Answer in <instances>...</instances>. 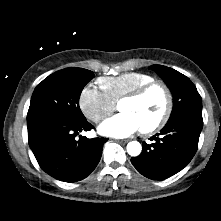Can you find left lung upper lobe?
<instances>
[{"instance_id":"left-lung-upper-lobe-1","label":"left lung upper lobe","mask_w":221,"mask_h":221,"mask_svg":"<svg viewBox=\"0 0 221 221\" xmlns=\"http://www.w3.org/2000/svg\"><path fill=\"white\" fill-rule=\"evenodd\" d=\"M151 68L166 82L173 95V110L168 121L184 113H202L201 96L188 77L163 65Z\"/></svg>"}]
</instances>
